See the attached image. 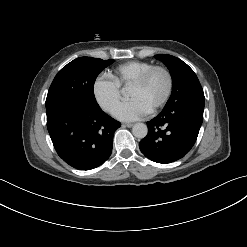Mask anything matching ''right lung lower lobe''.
Listing matches in <instances>:
<instances>
[{"label":"right lung lower lobe","mask_w":247,"mask_h":247,"mask_svg":"<svg viewBox=\"0 0 247 247\" xmlns=\"http://www.w3.org/2000/svg\"><path fill=\"white\" fill-rule=\"evenodd\" d=\"M46 114L54 148L70 166L91 170L111 155L114 132L121 124L100 107L64 101L46 108Z\"/></svg>","instance_id":"right-lung-lower-lobe-1"}]
</instances>
